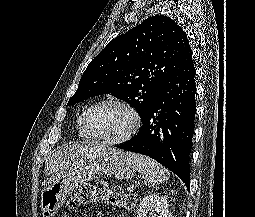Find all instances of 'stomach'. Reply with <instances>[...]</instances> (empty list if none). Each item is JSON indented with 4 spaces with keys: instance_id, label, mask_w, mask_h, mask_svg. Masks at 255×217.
Segmentation results:
<instances>
[{
    "instance_id": "stomach-1",
    "label": "stomach",
    "mask_w": 255,
    "mask_h": 217,
    "mask_svg": "<svg viewBox=\"0 0 255 217\" xmlns=\"http://www.w3.org/2000/svg\"><path fill=\"white\" fill-rule=\"evenodd\" d=\"M135 166L127 153L112 148L97 158L77 162L53 174L41 192L43 217H55L69 195L101 173L118 180L130 179Z\"/></svg>"
}]
</instances>
